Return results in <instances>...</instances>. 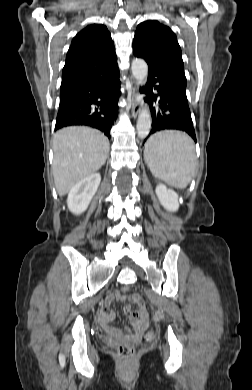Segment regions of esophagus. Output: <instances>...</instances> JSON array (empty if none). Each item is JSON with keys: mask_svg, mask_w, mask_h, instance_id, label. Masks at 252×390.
I'll list each match as a JSON object with an SVG mask.
<instances>
[{"mask_svg": "<svg viewBox=\"0 0 252 390\" xmlns=\"http://www.w3.org/2000/svg\"><path fill=\"white\" fill-rule=\"evenodd\" d=\"M138 94H139L138 83L134 79H132L131 80V113L134 118L137 117L142 106V102L138 99Z\"/></svg>", "mask_w": 252, "mask_h": 390, "instance_id": "obj_1", "label": "esophagus"}]
</instances>
